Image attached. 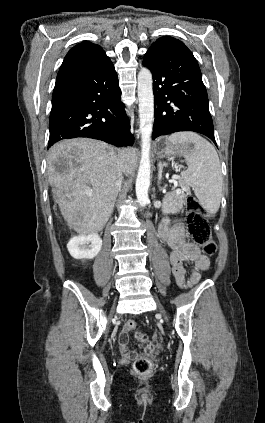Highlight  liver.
I'll return each instance as SVG.
<instances>
[{
  "mask_svg": "<svg viewBox=\"0 0 265 423\" xmlns=\"http://www.w3.org/2000/svg\"><path fill=\"white\" fill-rule=\"evenodd\" d=\"M135 162L134 149L116 152L93 139H66L53 145L47 156L48 180L68 226L79 235L102 230L118 194L119 168L123 165L131 173Z\"/></svg>",
  "mask_w": 265,
  "mask_h": 423,
  "instance_id": "liver-1",
  "label": "liver"
}]
</instances>
